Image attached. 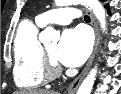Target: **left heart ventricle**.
I'll list each match as a JSON object with an SVG mask.
<instances>
[{
    "label": "left heart ventricle",
    "mask_w": 121,
    "mask_h": 94,
    "mask_svg": "<svg viewBox=\"0 0 121 94\" xmlns=\"http://www.w3.org/2000/svg\"><path fill=\"white\" fill-rule=\"evenodd\" d=\"M45 48L54 57L55 51H56V43L50 44V45H46Z\"/></svg>",
    "instance_id": "b2bd125f"
}]
</instances>
